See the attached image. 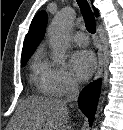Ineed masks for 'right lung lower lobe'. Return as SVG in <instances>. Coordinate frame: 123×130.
Here are the masks:
<instances>
[{
  "label": "right lung lower lobe",
  "mask_w": 123,
  "mask_h": 130,
  "mask_svg": "<svg viewBox=\"0 0 123 130\" xmlns=\"http://www.w3.org/2000/svg\"><path fill=\"white\" fill-rule=\"evenodd\" d=\"M101 90V80L88 84L80 93L78 105L81 111L87 116L89 125L94 121V115Z\"/></svg>",
  "instance_id": "obj_1"
}]
</instances>
